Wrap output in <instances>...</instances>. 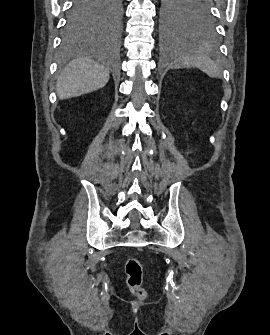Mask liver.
<instances>
[{"label": "liver", "mask_w": 270, "mask_h": 335, "mask_svg": "<svg viewBox=\"0 0 270 335\" xmlns=\"http://www.w3.org/2000/svg\"><path fill=\"white\" fill-rule=\"evenodd\" d=\"M108 68L99 66L89 58H80L68 64L57 80L59 100L75 98L81 94H89L99 88H104L109 80Z\"/></svg>", "instance_id": "obj_1"}]
</instances>
